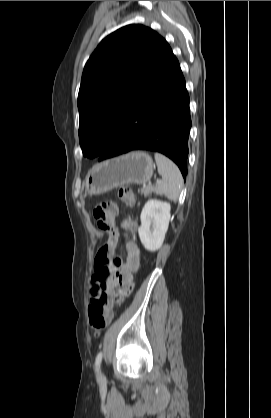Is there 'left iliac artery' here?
I'll list each match as a JSON object with an SVG mask.
<instances>
[{
    "instance_id": "left-iliac-artery-1",
    "label": "left iliac artery",
    "mask_w": 271,
    "mask_h": 418,
    "mask_svg": "<svg viewBox=\"0 0 271 418\" xmlns=\"http://www.w3.org/2000/svg\"><path fill=\"white\" fill-rule=\"evenodd\" d=\"M101 360H102V352L100 351L98 353V355L96 356V360H95V370H96L97 374L99 372V365L101 363Z\"/></svg>"
}]
</instances>
